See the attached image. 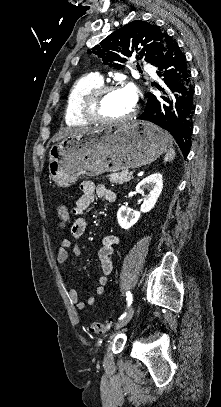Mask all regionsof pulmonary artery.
<instances>
[{
  "instance_id": "obj_1",
  "label": "pulmonary artery",
  "mask_w": 221,
  "mask_h": 407,
  "mask_svg": "<svg viewBox=\"0 0 221 407\" xmlns=\"http://www.w3.org/2000/svg\"><path fill=\"white\" fill-rule=\"evenodd\" d=\"M145 69L148 71V72H150L151 74H155V72H154V69L151 67V66H149V65H146L145 66ZM94 77L99 81V82H103V77L101 76V75H99L98 73H95L94 74Z\"/></svg>"
}]
</instances>
